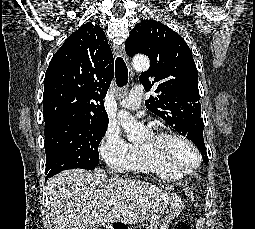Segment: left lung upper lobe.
I'll use <instances>...</instances> for the list:
<instances>
[{"mask_svg": "<svg viewBox=\"0 0 255 229\" xmlns=\"http://www.w3.org/2000/svg\"><path fill=\"white\" fill-rule=\"evenodd\" d=\"M125 49L130 57L142 53L150 59V68L141 74L139 81L146 91L155 88L157 96H150L145 101L146 107L193 141L208 164L198 72L184 39L161 22L143 20L132 29Z\"/></svg>", "mask_w": 255, "mask_h": 229, "instance_id": "1", "label": "left lung upper lobe"}]
</instances>
